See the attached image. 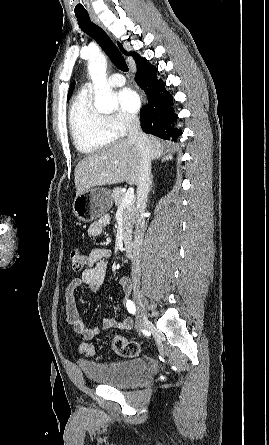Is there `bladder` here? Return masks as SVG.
<instances>
[{
  "mask_svg": "<svg viewBox=\"0 0 269 445\" xmlns=\"http://www.w3.org/2000/svg\"><path fill=\"white\" fill-rule=\"evenodd\" d=\"M147 367L143 359L108 364L88 361L80 363V368L88 380L116 388H125L137 383L146 373Z\"/></svg>",
  "mask_w": 269,
  "mask_h": 445,
  "instance_id": "bladder-1",
  "label": "bladder"
}]
</instances>
